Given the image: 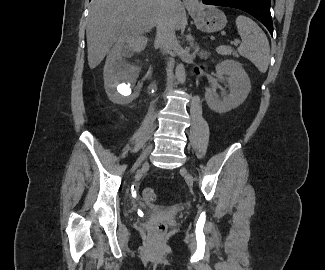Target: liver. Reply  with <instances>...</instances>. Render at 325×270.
Here are the masks:
<instances>
[{"mask_svg":"<svg viewBox=\"0 0 325 270\" xmlns=\"http://www.w3.org/2000/svg\"><path fill=\"white\" fill-rule=\"evenodd\" d=\"M160 12L161 0H92L86 27L89 67H97L114 43L144 48L142 35L155 27ZM172 12L180 29L186 23L184 6L177 2Z\"/></svg>","mask_w":325,"mask_h":270,"instance_id":"6515ba94","label":"liver"}]
</instances>
